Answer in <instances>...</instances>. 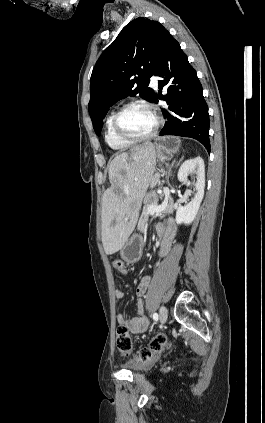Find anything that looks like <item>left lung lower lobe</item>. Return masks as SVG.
<instances>
[{
  "label": "left lung lower lobe",
  "mask_w": 265,
  "mask_h": 423,
  "mask_svg": "<svg viewBox=\"0 0 265 423\" xmlns=\"http://www.w3.org/2000/svg\"><path fill=\"white\" fill-rule=\"evenodd\" d=\"M155 75L163 78L158 81V87L162 89L166 86L168 92L165 97L161 98L167 102L168 108L162 109L167 121L160 136L176 135L194 138L210 152V123L203 89L196 71L188 62L179 43L172 36L168 39L162 61ZM153 102L158 103L157 94Z\"/></svg>",
  "instance_id": "1"
}]
</instances>
